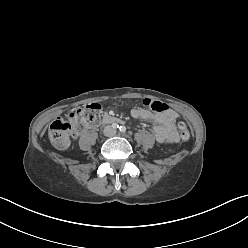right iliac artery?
<instances>
[{"mask_svg": "<svg viewBox=\"0 0 248 248\" xmlns=\"http://www.w3.org/2000/svg\"><path fill=\"white\" fill-rule=\"evenodd\" d=\"M113 127L114 128H119V125L118 124H114Z\"/></svg>", "mask_w": 248, "mask_h": 248, "instance_id": "right-iliac-artery-1", "label": "right iliac artery"}]
</instances>
